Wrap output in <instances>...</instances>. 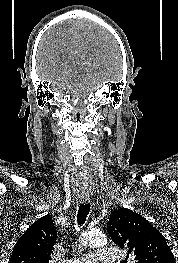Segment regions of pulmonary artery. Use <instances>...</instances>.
Wrapping results in <instances>:
<instances>
[{"mask_svg": "<svg viewBox=\"0 0 178 263\" xmlns=\"http://www.w3.org/2000/svg\"><path fill=\"white\" fill-rule=\"evenodd\" d=\"M123 258L124 252L122 249L100 248L96 252L72 258L67 263H95L98 260L107 263H119Z\"/></svg>", "mask_w": 178, "mask_h": 263, "instance_id": "obj_1", "label": "pulmonary artery"}]
</instances>
